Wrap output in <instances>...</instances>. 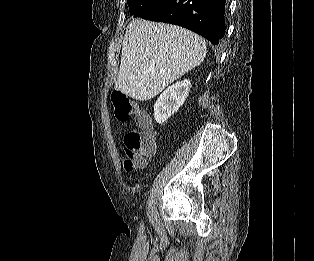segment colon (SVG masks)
I'll use <instances>...</instances> for the list:
<instances>
[{"label":"colon","mask_w":314,"mask_h":261,"mask_svg":"<svg viewBox=\"0 0 314 261\" xmlns=\"http://www.w3.org/2000/svg\"><path fill=\"white\" fill-rule=\"evenodd\" d=\"M114 106V116L118 121H127L133 118L138 129L130 130L123 139V148L127 156L124 162L128 171L138 168L142 159L154 152L156 147V136L151 130V119L149 115L129 98L121 90H114L111 94Z\"/></svg>","instance_id":"obj_1"}]
</instances>
